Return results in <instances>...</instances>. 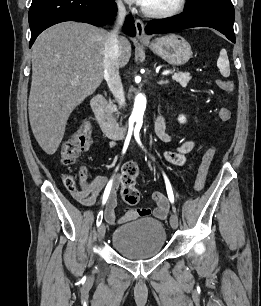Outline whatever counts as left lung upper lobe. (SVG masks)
Returning a JSON list of instances; mask_svg holds the SVG:
<instances>
[{
    "mask_svg": "<svg viewBox=\"0 0 261 306\" xmlns=\"http://www.w3.org/2000/svg\"><path fill=\"white\" fill-rule=\"evenodd\" d=\"M231 0H186V9H193L208 4H220Z\"/></svg>",
    "mask_w": 261,
    "mask_h": 306,
    "instance_id": "left-lung-upper-lobe-1",
    "label": "left lung upper lobe"
}]
</instances>
